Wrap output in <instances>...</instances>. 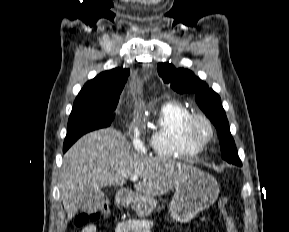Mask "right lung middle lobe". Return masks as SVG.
Returning <instances> with one entry per match:
<instances>
[{
    "label": "right lung middle lobe",
    "mask_w": 289,
    "mask_h": 232,
    "mask_svg": "<svg viewBox=\"0 0 289 232\" xmlns=\"http://www.w3.org/2000/svg\"><path fill=\"white\" fill-rule=\"evenodd\" d=\"M119 97L76 98L68 121L63 151L83 134L110 126L115 117Z\"/></svg>",
    "instance_id": "1"
}]
</instances>
